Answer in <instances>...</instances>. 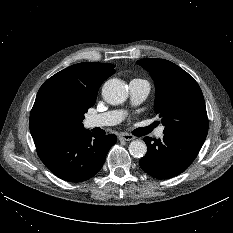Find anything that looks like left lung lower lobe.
<instances>
[{
    "mask_svg": "<svg viewBox=\"0 0 233 233\" xmlns=\"http://www.w3.org/2000/svg\"><path fill=\"white\" fill-rule=\"evenodd\" d=\"M206 137L195 134H164L162 139L145 137L147 154L140 166L149 175L167 179L185 171L194 161Z\"/></svg>",
    "mask_w": 233,
    "mask_h": 233,
    "instance_id": "0a47b994",
    "label": "left lung lower lobe"
}]
</instances>
